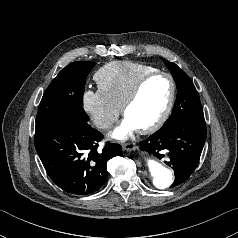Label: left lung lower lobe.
<instances>
[{
	"mask_svg": "<svg viewBox=\"0 0 238 238\" xmlns=\"http://www.w3.org/2000/svg\"><path fill=\"white\" fill-rule=\"evenodd\" d=\"M207 136L204 117L182 118L166 126L141 141L140 150L158 159L166 158L165 163L175 172L172 187L189 178L195 170Z\"/></svg>",
	"mask_w": 238,
	"mask_h": 238,
	"instance_id": "1",
	"label": "left lung lower lobe"
}]
</instances>
